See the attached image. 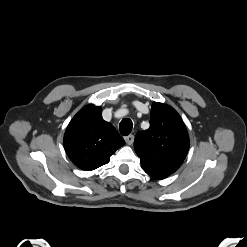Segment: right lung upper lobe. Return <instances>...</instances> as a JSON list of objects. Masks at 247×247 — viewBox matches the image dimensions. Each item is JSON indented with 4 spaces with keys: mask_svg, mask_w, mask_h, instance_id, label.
I'll list each match as a JSON object with an SVG mask.
<instances>
[{
    "mask_svg": "<svg viewBox=\"0 0 247 247\" xmlns=\"http://www.w3.org/2000/svg\"><path fill=\"white\" fill-rule=\"evenodd\" d=\"M63 143L71 161L85 171L107 164L125 144L113 125L103 120L101 107L93 104L85 106L70 121Z\"/></svg>",
    "mask_w": 247,
    "mask_h": 247,
    "instance_id": "cb5924a9",
    "label": "right lung upper lobe"
}]
</instances>
